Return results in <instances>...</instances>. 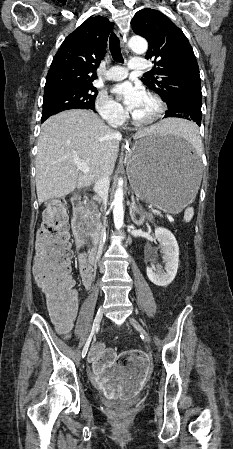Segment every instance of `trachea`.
<instances>
[{"label":"trachea","instance_id":"1","mask_svg":"<svg viewBox=\"0 0 233 449\" xmlns=\"http://www.w3.org/2000/svg\"><path fill=\"white\" fill-rule=\"evenodd\" d=\"M109 48L112 54V57L115 61L123 62V57L121 55L119 41L115 33H112L109 38Z\"/></svg>","mask_w":233,"mask_h":449}]
</instances>
